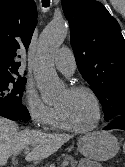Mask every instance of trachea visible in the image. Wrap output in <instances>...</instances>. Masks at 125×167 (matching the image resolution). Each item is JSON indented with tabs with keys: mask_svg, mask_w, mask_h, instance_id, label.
<instances>
[{
	"mask_svg": "<svg viewBox=\"0 0 125 167\" xmlns=\"http://www.w3.org/2000/svg\"><path fill=\"white\" fill-rule=\"evenodd\" d=\"M43 6L48 7L50 4V0H42Z\"/></svg>",
	"mask_w": 125,
	"mask_h": 167,
	"instance_id": "3493384b",
	"label": "trachea"
}]
</instances>
